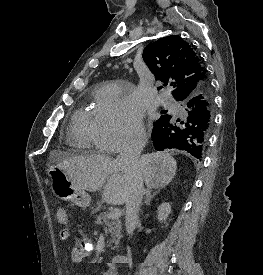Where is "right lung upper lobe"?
Masks as SVG:
<instances>
[{"label":"right lung upper lobe","mask_w":263,"mask_h":275,"mask_svg":"<svg viewBox=\"0 0 263 275\" xmlns=\"http://www.w3.org/2000/svg\"><path fill=\"white\" fill-rule=\"evenodd\" d=\"M143 59L157 80L173 86L171 94L177 100L196 93L208 82L201 60L190 44L178 35H171L149 43ZM213 121V105L209 122Z\"/></svg>","instance_id":"obj_1"}]
</instances>
